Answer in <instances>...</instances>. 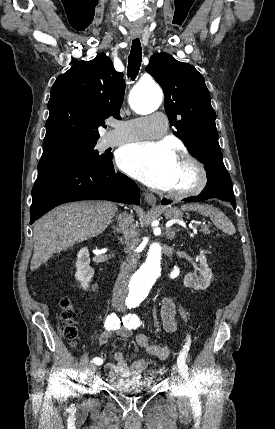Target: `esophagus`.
<instances>
[{
  "label": "esophagus",
  "mask_w": 275,
  "mask_h": 429,
  "mask_svg": "<svg viewBox=\"0 0 275 429\" xmlns=\"http://www.w3.org/2000/svg\"><path fill=\"white\" fill-rule=\"evenodd\" d=\"M133 38H136V36H134ZM144 196H145V200H146V202H147L149 205H151L152 207H155V206H156V197H155V195H154V194L149 193V192H145V193H144Z\"/></svg>",
  "instance_id": "34e87169"
}]
</instances>
